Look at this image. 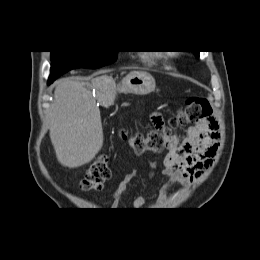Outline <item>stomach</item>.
Instances as JSON below:
<instances>
[{
  "instance_id": "stomach-1",
  "label": "stomach",
  "mask_w": 260,
  "mask_h": 260,
  "mask_svg": "<svg viewBox=\"0 0 260 260\" xmlns=\"http://www.w3.org/2000/svg\"><path fill=\"white\" fill-rule=\"evenodd\" d=\"M155 79L148 73H130L116 87V91L135 95H147L155 90Z\"/></svg>"
}]
</instances>
